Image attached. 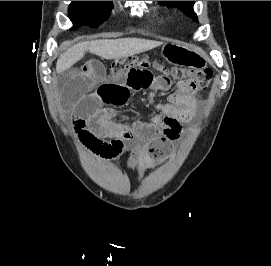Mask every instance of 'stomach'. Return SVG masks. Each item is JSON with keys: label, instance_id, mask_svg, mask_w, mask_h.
Wrapping results in <instances>:
<instances>
[{"label": "stomach", "instance_id": "0dacf381", "mask_svg": "<svg viewBox=\"0 0 271 266\" xmlns=\"http://www.w3.org/2000/svg\"><path fill=\"white\" fill-rule=\"evenodd\" d=\"M161 55L169 64L175 66L200 69L207 65V60L196 48L181 43L165 44Z\"/></svg>", "mask_w": 271, "mask_h": 266}]
</instances>
